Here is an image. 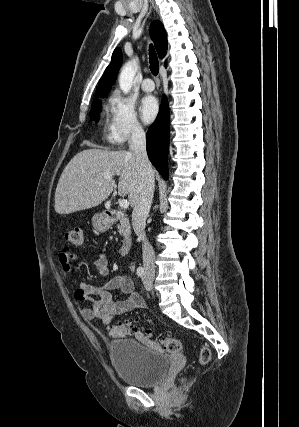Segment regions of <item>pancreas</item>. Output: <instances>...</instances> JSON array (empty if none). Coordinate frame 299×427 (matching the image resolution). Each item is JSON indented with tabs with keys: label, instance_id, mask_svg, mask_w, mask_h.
<instances>
[{
	"label": "pancreas",
	"instance_id": "pancreas-1",
	"mask_svg": "<svg viewBox=\"0 0 299 427\" xmlns=\"http://www.w3.org/2000/svg\"><path fill=\"white\" fill-rule=\"evenodd\" d=\"M118 230L120 235H122L126 239H130L131 230H130V224L128 219H123L120 222V224L118 225Z\"/></svg>",
	"mask_w": 299,
	"mask_h": 427
}]
</instances>
